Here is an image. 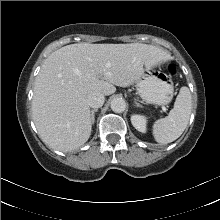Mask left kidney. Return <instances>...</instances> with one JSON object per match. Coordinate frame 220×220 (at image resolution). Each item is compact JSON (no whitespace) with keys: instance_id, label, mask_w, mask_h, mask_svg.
I'll list each match as a JSON object with an SVG mask.
<instances>
[{"instance_id":"5707ae66","label":"left kidney","mask_w":220,"mask_h":220,"mask_svg":"<svg viewBox=\"0 0 220 220\" xmlns=\"http://www.w3.org/2000/svg\"><path fill=\"white\" fill-rule=\"evenodd\" d=\"M131 123L134 128L142 133L146 132L147 118L143 115H132Z\"/></svg>"}]
</instances>
